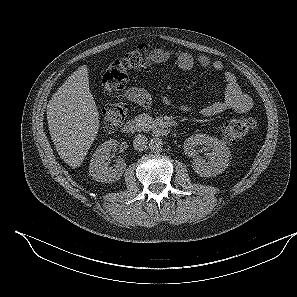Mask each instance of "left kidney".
I'll return each instance as SVG.
<instances>
[{"mask_svg":"<svg viewBox=\"0 0 297 297\" xmlns=\"http://www.w3.org/2000/svg\"><path fill=\"white\" fill-rule=\"evenodd\" d=\"M205 145L209 151L206 160L197 155L195 147ZM184 152L193 158L192 168L201 177H212L221 174L229 164L230 150L227 145L215 137L195 134L184 142Z\"/></svg>","mask_w":297,"mask_h":297,"instance_id":"5707ae66","label":"left kidney"}]
</instances>
